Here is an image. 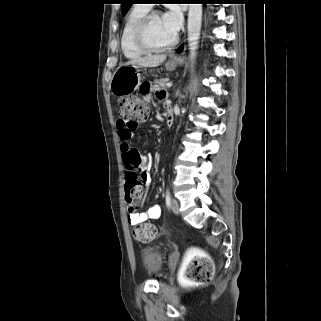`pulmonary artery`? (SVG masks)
<instances>
[{
	"label": "pulmonary artery",
	"mask_w": 321,
	"mask_h": 321,
	"mask_svg": "<svg viewBox=\"0 0 321 321\" xmlns=\"http://www.w3.org/2000/svg\"><path fill=\"white\" fill-rule=\"evenodd\" d=\"M144 6L147 7V8H150V7H151L150 4H145Z\"/></svg>",
	"instance_id": "e3ab8cb5"
}]
</instances>
